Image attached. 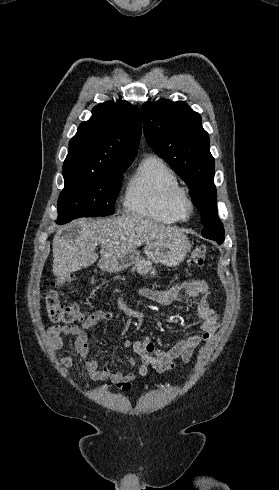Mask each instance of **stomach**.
<instances>
[{
    "instance_id": "obj_1",
    "label": "stomach",
    "mask_w": 279,
    "mask_h": 490,
    "mask_svg": "<svg viewBox=\"0 0 279 490\" xmlns=\"http://www.w3.org/2000/svg\"><path fill=\"white\" fill-rule=\"evenodd\" d=\"M190 242L186 236L176 238V240H162V242H148L144 248L146 260H151L155 264H163L168 268H176L184 262L187 252H190ZM140 260V252L133 250L122 254L118 258H102L98 266L102 272H122L126 268H130L133 264H137Z\"/></svg>"
}]
</instances>
